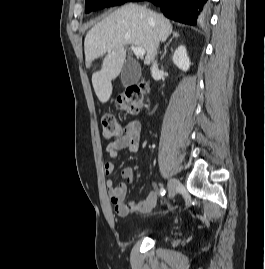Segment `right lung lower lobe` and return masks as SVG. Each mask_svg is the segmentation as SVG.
Wrapping results in <instances>:
<instances>
[{
    "instance_id": "right-lung-lower-lobe-1",
    "label": "right lung lower lobe",
    "mask_w": 265,
    "mask_h": 269,
    "mask_svg": "<svg viewBox=\"0 0 265 269\" xmlns=\"http://www.w3.org/2000/svg\"><path fill=\"white\" fill-rule=\"evenodd\" d=\"M150 1L159 6L164 15L175 21L195 25L198 14L207 0H129Z\"/></svg>"
}]
</instances>
